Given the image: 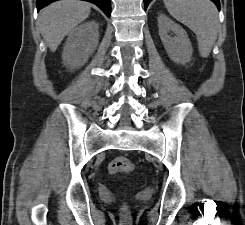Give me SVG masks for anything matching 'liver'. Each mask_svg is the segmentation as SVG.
Returning a JSON list of instances; mask_svg holds the SVG:
<instances>
[{
	"instance_id": "liver-1",
	"label": "liver",
	"mask_w": 245,
	"mask_h": 225,
	"mask_svg": "<svg viewBox=\"0 0 245 225\" xmlns=\"http://www.w3.org/2000/svg\"><path fill=\"white\" fill-rule=\"evenodd\" d=\"M90 4L79 0H60L43 8L38 22L49 49L54 52L79 23L89 15Z\"/></svg>"
}]
</instances>
